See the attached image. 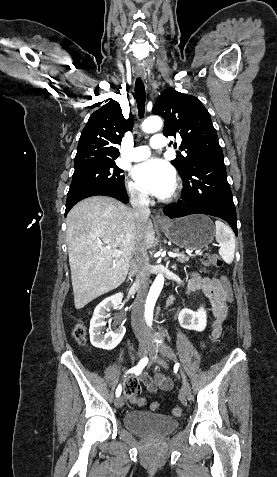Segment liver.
Wrapping results in <instances>:
<instances>
[{"instance_id":"6515ba94","label":"liver","mask_w":277,"mask_h":477,"mask_svg":"<svg viewBox=\"0 0 277 477\" xmlns=\"http://www.w3.org/2000/svg\"><path fill=\"white\" fill-rule=\"evenodd\" d=\"M67 246L76 309L120 286L134 254L155 242L148 220L141 231L133 212L118 200L94 196L76 204L68 213ZM123 251L120 258L114 250Z\"/></svg>"}]
</instances>
